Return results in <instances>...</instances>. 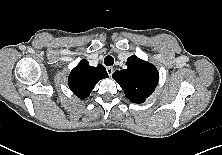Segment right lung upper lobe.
I'll return each mask as SVG.
<instances>
[{
  "mask_svg": "<svg viewBox=\"0 0 222 155\" xmlns=\"http://www.w3.org/2000/svg\"><path fill=\"white\" fill-rule=\"evenodd\" d=\"M108 74L103 65L92 67L88 61L83 59L73 68L68 78V85L71 91L80 99L87 98L95 87L96 83Z\"/></svg>",
  "mask_w": 222,
  "mask_h": 155,
  "instance_id": "right-lung-upper-lobe-1",
  "label": "right lung upper lobe"
}]
</instances>
